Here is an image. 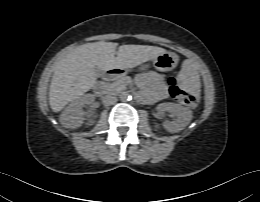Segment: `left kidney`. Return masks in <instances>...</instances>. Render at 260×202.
Returning a JSON list of instances; mask_svg holds the SVG:
<instances>
[{
	"label": "left kidney",
	"mask_w": 260,
	"mask_h": 202,
	"mask_svg": "<svg viewBox=\"0 0 260 202\" xmlns=\"http://www.w3.org/2000/svg\"><path fill=\"white\" fill-rule=\"evenodd\" d=\"M158 112H169L172 117L175 119L173 121H166L164 123V128L169 132H179L185 128L192 119V111L186 107H183L179 104L172 102H164L157 106ZM155 128L158 129L159 126L155 125Z\"/></svg>",
	"instance_id": "left-kidney-1"
}]
</instances>
